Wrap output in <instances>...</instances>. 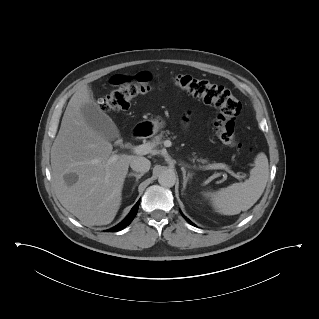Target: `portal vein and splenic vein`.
Returning a JSON list of instances; mask_svg holds the SVG:
<instances>
[{
  "mask_svg": "<svg viewBox=\"0 0 319 319\" xmlns=\"http://www.w3.org/2000/svg\"><path fill=\"white\" fill-rule=\"evenodd\" d=\"M171 145H172V143H171L170 140L164 141V146L165 147H171ZM154 146H155L154 143H146V144L138 145V146H135L133 148V152L135 154H139V155H146V154H149L150 152H152V149L154 148ZM116 160H117V156L114 155V156H112L110 158L109 162H114ZM201 168L204 169V170L221 169V170H225L226 172H228L229 174H231L232 176H234L237 179L241 178L238 174H235L233 171H231L229 169V167L226 164H224V163L211 164V165L204 166V167H201Z\"/></svg>",
  "mask_w": 319,
  "mask_h": 319,
  "instance_id": "1",
  "label": "portal vein and splenic vein"
}]
</instances>
